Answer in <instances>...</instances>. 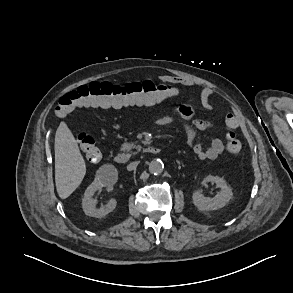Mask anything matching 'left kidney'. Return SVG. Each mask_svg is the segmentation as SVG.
I'll list each match as a JSON object with an SVG mask.
<instances>
[{
	"mask_svg": "<svg viewBox=\"0 0 293 293\" xmlns=\"http://www.w3.org/2000/svg\"><path fill=\"white\" fill-rule=\"evenodd\" d=\"M215 183L220 188V192L213 198L205 197L200 191H195L192 195L193 204L200 211L217 210L224 207L233 197L232 189L227 185L224 178L218 176H206L202 184Z\"/></svg>",
	"mask_w": 293,
	"mask_h": 293,
	"instance_id": "5707ae66",
	"label": "left kidney"
}]
</instances>
